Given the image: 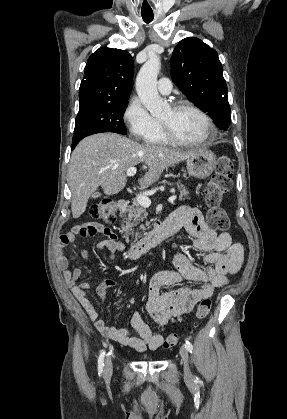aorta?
Segmentation results:
<instances>
[{"mask_svg":"<svg viewBox=\"0 0 287 419\" xmlns=\"http://www.w3.org/2000/svg\"><path fill=\"white\" fill-rule=\"evenodd\" d=\"M160 67V57L152 55L141 67L136 78L137 94L142 104L153 116L161 114L165 106L157 90V76Z\"/></svg>","mask_w":287,"mask_h":419,"instance_id":"762f6f07","label":"aorta"}]
</instances>
